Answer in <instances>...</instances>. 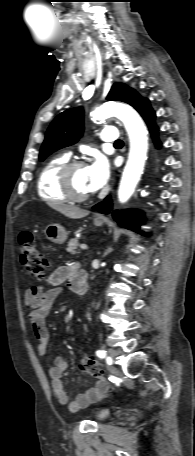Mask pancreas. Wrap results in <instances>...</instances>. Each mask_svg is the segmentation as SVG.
<instances>
[{
  "label": "pancreas",
  "mask_w": 195,
  "mask_h": 456,
  "mask_svg": "<svg viewBox=\"0 0 195 456\" xmlns=\"http://www.w3.org/2000/svg\"><path fill=\"white\" fill-rule=\"evenodd\" d=\"M79 246V242H78V239L77 238H72L70 239V241L68 242V247L66 249L67 252L71 253V254H77L79 253L77 251V247Z\"/></svg>",
  "instance_id": "obj_1"
}]
</instances>
